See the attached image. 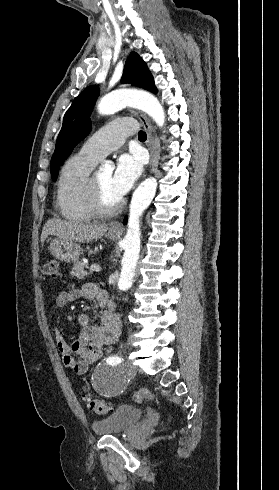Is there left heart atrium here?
Masks as SVG:
<instances>
[{"instance_id":"obj_1","label":"left heart atrium","mask_w":279,"mask_h":490,"mask_svg":"<svg viewBox=\"0 0 279 490\" xmlns=\"http://www.w3.org/2000/svg\"><path fill=\"white\" fill-rule=\"evenodd\" d=\"M143 171L141 159L137 155L123 154L116 163L111 177L113 194L122 199L134 186Z\"/></svg>"}]
</instances>
